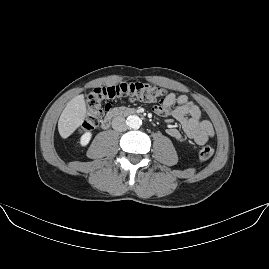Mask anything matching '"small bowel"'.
I'll use <instances>...</instances> for the list:
<instances>
[{
  "instance_id": "small-bowel-1",
  "label": "small bowel",
  "mask_w": 269,
  "mask_h": 269,
  "mask_svg": "<svg viewBox=\"0 0 269 269\" xmlns=\"http://www.w3.org/2000/svg\"><path fill=\"white\" fill-rule=\"evenodd\" d=\"M155 112L162 117L172 116L183 128L187 137L196 145L206 144L214 136V128L209 120L202 119L199 107L186 95H177L169 92L162 99ZM167 133L182 140V134L176 128H170Z\"/></svg>"
}]
</instances>
